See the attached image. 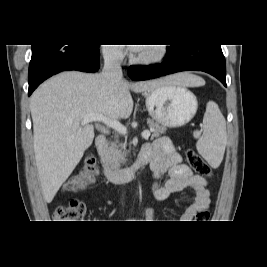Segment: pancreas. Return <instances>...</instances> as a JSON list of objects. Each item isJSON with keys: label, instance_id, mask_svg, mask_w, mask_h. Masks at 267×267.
I'll use <instances>...</instances> for the list:
<instances>
[{"label": "pancreas", "instance_id": "cf45deb5", "mask_svg": "<svg viewBox=\"0 0 267 267\" xmlns=\"http://www.w3.org/2000/svg\"><path fill=\"white\" fill-rule=\"evenodd\" d=\"M148 125L152 130V138L159 137L161 134H165L167 130L165 126H162L152 120H148ZM128 153L129 151L126 150V142L118 144V141H116L115 143H111L110 146L106 147L104 159L111 168L118 169L121 164L126 162V156Z\"/></svg>", "mask_w": 267, "mask_h": 267}]
</instances>
